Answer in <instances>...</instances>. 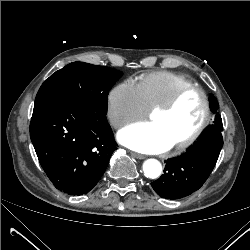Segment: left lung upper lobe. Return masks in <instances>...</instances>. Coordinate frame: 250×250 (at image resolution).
Here are the masks:
<instances>
[{"label": "left lung upper lobe", "mask_w": 250, "mask_h": 250, "mask_svg": "<svg viewBox=\"0 0 250 250\" xmlns=\"http://www.w3.org/2000/svg\"><path fill=\"white\" fill-rule=\"evenodd\" d=\"M210 102H211V110L213 113H216L217 112V109H218V102L216 100V98L214 96H211L210 97ZM216 128H219V129H223V125H222V119L220 117L219 114L216 115V121H215V125H214Z\"/></svg>", "instance_id": "left-lung-upper-lobe-1"}]
</instances>
